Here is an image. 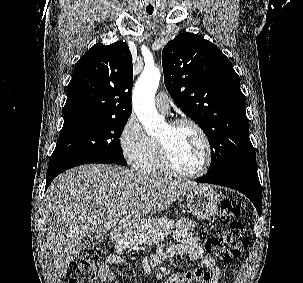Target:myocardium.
I'll return each instance as SVG.
<instances>
[{
	"mask_svg": "<svg viewBox=\"0 0 303 283\" xmlns=\"http://www.w3.org/2000/svg\"><path fill=\"white\" fill-rule=\"evenodd\" d=\"M168 125L170 128H173V129L181 127V126L192 127L199 134V136L203 142L204 149H205V159H204V163H203L202 167L199 170H197L196 172H193V173L181 172L180 170L177 169V167L175 166V164L172 160L168 145L164 141L157 138L156 142H157V147H158V152H159V158H160V162H161L164 170L168 174H170L174 177H177V178H182V179H196V178L203 176L209 170L211 163H212V157H213L212 145H211L210 139H209L208 135L206 134V132L204 131V129L194 120L187 119V118L173 120Z\"/></svg>",
	"mask_w": 303,
	"mask_h": 283,
	"instance_id": "f54148a6",
	"label": "myocardium"
}]
</instances>
